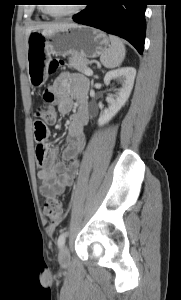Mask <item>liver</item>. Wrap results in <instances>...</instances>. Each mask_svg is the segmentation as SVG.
<instances>
[{
    "mask_svg": "<svg viewBox=\"0 0 181 300\" xmlns=\"http://www.w3.org/2000/svg\"><path fill=\"white\" fill-rule=\"evenodd\" d=\"M75 25L74 23H48V24H38L35 26L30 27L26 31V37L28 38V35L32 31H40L44 34H51L61 29H66L70 26Z\"/></svg>",
    "mask_w": 181,
    "mask_h": 300,
    "instance_id": "6515ba94",
    "label": "liver"
}]
</instances>
